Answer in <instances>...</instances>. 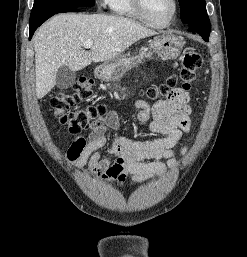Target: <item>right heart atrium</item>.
I'll return each instance as SVG.
<instances>
[{
	"mask_svg": "<svg viewBox=\"0 0 247 257\" xmlns=\"http://www.w3.org/2000/svg\"><path fill=\"white\" fill-rule=\"evenodd\" d=\"M99 1V4L102 6V7H105L108 5V2L109 0H98Z\"/></svg>",
	"mask_w": 247,
	"mask_h": 257,
	"instance_id": "right-heart-atrium-1",
	"label": "right heart atrium"
}]
</instances>
